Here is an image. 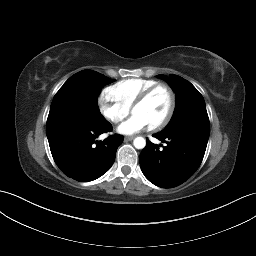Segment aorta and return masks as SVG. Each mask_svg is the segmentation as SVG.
<instances>
[{"label":"aorta","instance_id":"1","mask_svg":"<svg viewBox=\"0 0 256 256\" xmlns=\"http://www.w3.org/2000/svg\"><path fill=\"white\" fill-rule=\"evenodd\" d=\"M133 145L136 149H143L146 146V140L143 137H136Z\"/></svg>","mask_w":256,"mask_h":256}]
</instances>
